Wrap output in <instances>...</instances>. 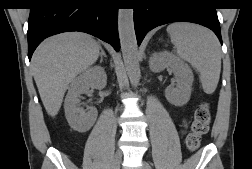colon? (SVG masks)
Listing matches in <instances>:
<instances>
[{
    "label": "colon",
    "mask_w": 252,
    "mask_h": 169,
    "mask_svg": "<svg viewBox=\"0 0 252 169\" xmlns=\"http://www.w3.org/2000/svg\"><path fill=\"white\" fill-rule=\"evenodd\" d=\"M209 123V116L205 108L197 114L193 125V136L190 139V148L195 149L198 145V135L204 132Z\"/></svg>",
    "instance_id": "obj_1"
}]
</instances>
